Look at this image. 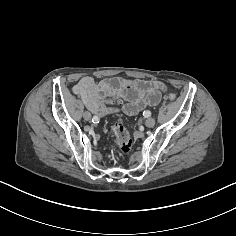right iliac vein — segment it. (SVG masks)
I'll list each match as a JSON object with an SVG mask.
<instances>
[{
  "instance_id": "obj_1",
  "label": "right iliac vein",
  "mask_w": 236,
  "mask_h": 236,
  "mask_svg": "<svg viewBox=\"0 0 236 236\" xmlns=\"http://www.w3.org/2000/svg\"><path fill=\"white\" fill-rule=\"evenodd\" d=\"M83 118H84L86 121L91 120V118H92L91 113L88 112V111H85V112L83 113Z\"/></svg>"
}]
</instances>
